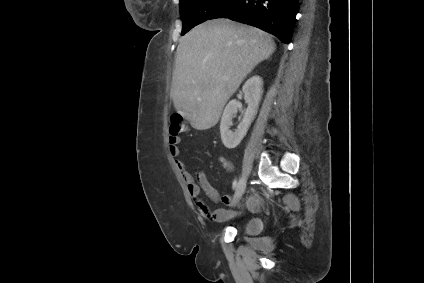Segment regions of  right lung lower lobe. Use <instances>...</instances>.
<instances>
[{
  "label": "right lung lower lobe",
  "instance_id": "1",
  "mask_svg": "<svg viewBox=\"0 0 424 283\" xmlns=\"http://www.w3.org/2000/svg\"><path fill=\"white\" fill-rule=\"evenodd\" d=\"M298 0H229L209 19L228 18L249 24L289 44Z\"/></svg>",
  "mask_w": 424,
  "mask_h": 283
}]
</instances>
